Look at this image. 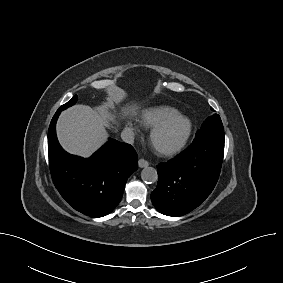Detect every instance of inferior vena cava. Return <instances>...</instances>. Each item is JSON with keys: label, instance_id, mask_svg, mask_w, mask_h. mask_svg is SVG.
I'll list each match as a JSON object with an SVG mask.
<instances>
[{"label": "inferior vena cava", "instance_id": "obj_1", "mask_svg": "<svg viewBox=\"0 0 283 283\" xmlns=\"http://www.w3.org/2000/svg\"><path fill=\"white\" fill-rule=\"evenodd\" d=\"M134 136H135L134 132L129 128L124 129L121 133L122 140L129 144H133Z\"/></svg>", "mask_w": 283, "mask_h": 283}]
</instances>
